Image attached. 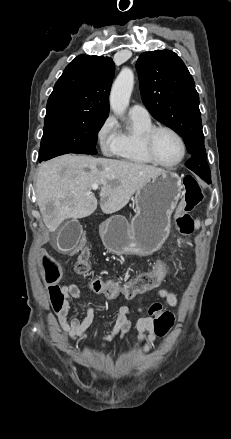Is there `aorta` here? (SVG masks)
I'll return each mask as SVG.
<instances>
[{
	"label": "aorta",
	"instance_id": "obj_1",
	"mask_svg": "<svg viewBox=\"0 0 231 439\" xmlns=\"http://www.w3.org/2000/svg\"><path fill=\"white\" fill-rule=\"evenodd\" d=\"M134 85V73L129 68L121 70L114 81L110 93V107L114 114L123 115L129 105Z\"/></svg>",
	"mask_w": 231,
	"mask_h": 439
}]
</instances>
